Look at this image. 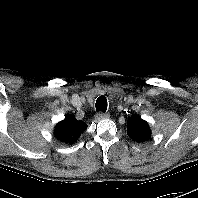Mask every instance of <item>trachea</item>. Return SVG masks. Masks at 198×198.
I'll list each match as a JSON object with an SVG mask.
<instances>
[{"label": "trachea", "instance_id": "3493384b", "mask_svg": "<svg viewBox=\"0 0 198 198\" xmlns=\"http://www.w3.org/2000/svg\"><path fill=\"white\" fill-rule=\"evenodd\" d=\"M107 106H108V103H107L106 97L104 96L98 97V99L96 100V104H95L96 110L104 113L107 110Z\"/></svg>", "mask_w": 198, "mask_h": 198}]
</instances>
